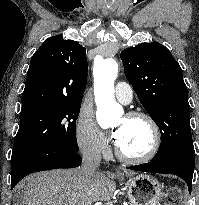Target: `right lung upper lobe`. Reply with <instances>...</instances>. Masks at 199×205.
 <instances>
[{
  "instance_id": "cb5924a9",
  "label": "right lung upper lobe",
  "mask_w": 199,
  "mask_h": 205,
  "mask_svg": "<svg viewBox=\"0 0 199 205\" xmlns=\"http://www.w3.org/2000/svg\"><path fill=\"white\" fill-rule=\"evenodd\" d=\"M86 82V49L61 35L52 36L32 56L21 111L43 105L81 104Z\"/></svg>"
}]
</instances>
